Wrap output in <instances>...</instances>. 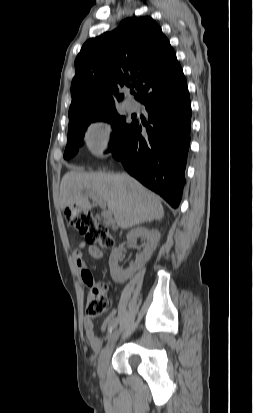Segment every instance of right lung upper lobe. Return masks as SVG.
Instances as JSON below:
<instances>
[{
  "label": "right lung upper lobe",
  "mask_w": 253,
  "mask_h": 413,
  "mask_svg": "<svg viewBox=\"0 0 253 413\" xmlns=\"http://www.w3.org/2000/svg\"><path fill=\"white\" fill-rule=\"evenodd\" d=\"M69 121L115 106L123 86L138 88L145 101L186 86L176 54L160 26L148 16L127 18L115 30L87 40L75 60Z\"/></svg>",
  "instance_id": "cb5924a9"
}]
</instances>
